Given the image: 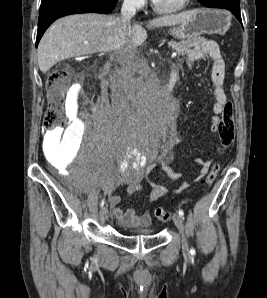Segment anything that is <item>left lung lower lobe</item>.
Segmentation results:
<instances>
[{
    "mask_svg": "<svg viewBox=\"0 0 267 298\" xmlns=\"http://www.w3.org/2000/svg\"><path fill=\"white\" fill-rule=\"evenodd\" d=\"M211 8H221L230 10L242 24L240 6L238 3L236 4L235 2L230 0H216L212 3Z\"/></svg>",
    "mask_w": 267,
    "mask_h": 298,
    "instance_id": "0a47b994",
    "label": "left lung lower lobe"
}]
</instances>
